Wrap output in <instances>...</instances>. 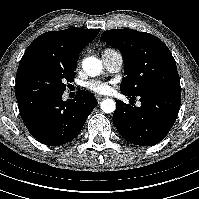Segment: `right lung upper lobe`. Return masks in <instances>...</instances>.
<instances>
[{
	"label": "right lung upper lobe",
	"instance_id": "1",
	"mask_svg": "<svg viewBox=\"0 0 199 199\" xmlns=\"http://www.w3.org/2000/svg\"><path fill=\"white\" fill-rule=\"evenodd\" d=\"M99 31V29L69 28L46 32L28 46L22 59L31 55H41L61 65L77 64V57L82 48L92 42Z\"/></svg>",
	"mask_w": 199,
	"mask_h": 199
}]
</instances>
